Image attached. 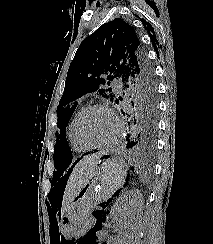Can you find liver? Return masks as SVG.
<instances>
[{
  "instance_id": "liver-1",
  "label": "liver",
  "mask_w": 213,
  "mask_h": 244,
  "mask_svg": "<svg viewBox=\"0 0 213 244\" xmlns=\"http://www.w3.org/2000/svg\"><path fill=\"white\" fill-rule=\"evenodd\" d=\"M104 152H98L92 155L83 157L73 168L68 179L63 197L62 214L65 213L73 199L79 191L89 182L96 170L99 159Z\"/></svg>"
}]
</instances>
